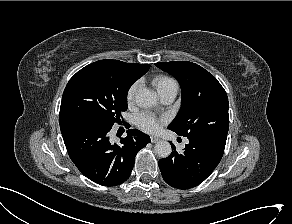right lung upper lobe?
<instances>
[{
	"instance_id": "obj_1",
	"label": "right lung upper lobe",
	"mask_w": 292,
	"mask_h": 224,
	"mask_svg": "<svg viewBox=\"0 0 292 224\" xmlns=\"http://www.w3.org/2000/svg\"><path fill=\"white\" fill-rule=\"evenodd\" d=\"M124 64L129 68L131 73L135 76L136 80L143 76L150 68L149 64H132L125 63Z\"/></svg>"
}]
</instances>
